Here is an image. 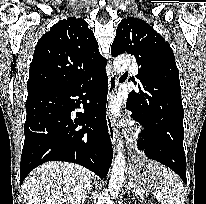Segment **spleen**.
I'll use <instances>...</instances> for the list:
<instances>
[{
    "label": "spleen",
    "instance_id": "3e777b00",
    "mask_svg": "<svg viewBox=\"0 0 206 204\" xmlns=\"http://www.w3.org/2000/svg\"><path fill=\"white\" fill-rule=\"evenodd\" d=\"M184 187L178 176L170 169L163 167V183L161 186L162 204H183ZM160 193V192H159Z\"/></svg>",
    "mask_w": 206,
    "mask_h": 204
}]
</instances>
